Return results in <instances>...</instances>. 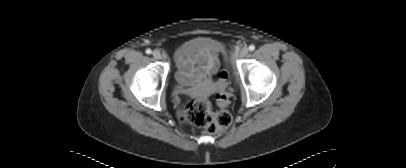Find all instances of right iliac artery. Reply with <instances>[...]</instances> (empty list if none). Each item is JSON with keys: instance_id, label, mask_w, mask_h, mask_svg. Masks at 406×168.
Listing matches in <instances>:
<instances>
[{"instance_id": "82829eb1", "label": "right iliac artery", "mask_w": 406, "mask_h": 168, "mask_svg": "<svg viewBox=\"0 0 406 168\" xmlns=\"http://www.w3.org/2000/svg\"><path fill=\"white\" fill-rule=\"evenodd\" d=\"M146 53L151 54L152 53L151 49H146Z\"/></svg>"}]
</instances>
